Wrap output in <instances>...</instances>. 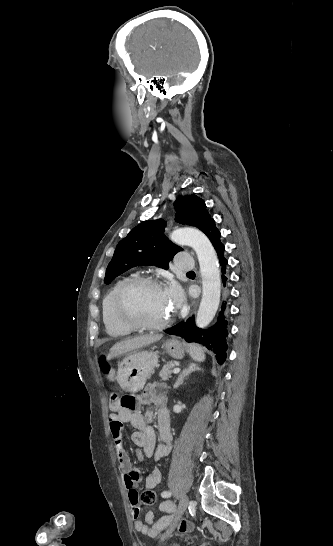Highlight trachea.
<instances>
[{
  "mask_svg": "<svg viewBox=\"0 0 333 546\" xmlns=\"http://www.w3.org/2000/svg\"><path fill=\"white\" fill-rule=\"evenodd\" d=\"M193 273H194L193 271H190V272H188L187 274H193Z\"/></svg>",
  "mask_w": 333,
  "mask_h": 546,
  "instance_id": "trachea-1",
  "label": "trachea"
}]
</instances>
